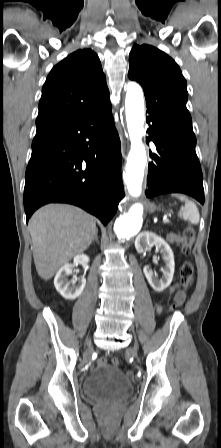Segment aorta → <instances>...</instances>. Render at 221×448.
Wrapping results in <instances>:
<instances>
[{
	"instance_id": "aorta-1",
	"label": "aorta",
	"mask_w": 221,
	"mask_h": 448,
	"mask_svg": "<svg viewBox=\"0 0 221 448\" xmlns=\"http://www.w3.org/2000/svg\"><path fill=\"white\" fill-rule=\"evenodd\" d=\"M125 106L131 149L127 157L124 182L129 194L133 197H139L142 193L147 156L145 146L142 143L145 119L144 96L137 83L130 82L127 84ZM142 215V204L135 203L126 213L118 217L114 224L117 237L127 239L137 233L142 226Z\"/></svg>"
}]
</instances>
